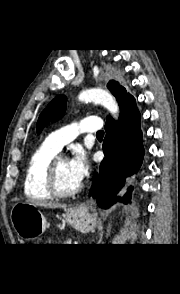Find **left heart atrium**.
I'll return each instance as SVG.
<instances>
[{
  "label": "left heart atrium",
  "instance_id": "obj_1",
  "mask_svg": "<svg viewBox=\"0 0 180 294\" xmlns=\"http://www.w3.org/2000/svg\"><path fill=\"white\" fill-rule=\"evenodd\" d=\"M68 165L73 178L80 184L89 173V162L85 152L81 149L76 150Z\"/></svg>",
  "mask_w": 180,
  "mask_h": 294
}]
</instances>
